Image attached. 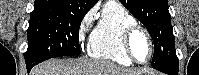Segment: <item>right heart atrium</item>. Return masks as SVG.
<instances>
[{"label": "right heart atrium", "instance_id": "right-heart-atrium-1", "mask_svg": "<svg viewBox=\"0 0 199 75\" xmlns=\"http://www.w3.org/2000/svg\"><path fill=\"white\" fill-rule=\"evenodd\" d=\"M94 15L92 12H89L85 15V17L82 19L79 29H78V38L79 42L82 44L88 35V33L91 30L92 23H93Z\"/></svg>", "mask_w": 199, "mask_h": 75}]
</instances>
